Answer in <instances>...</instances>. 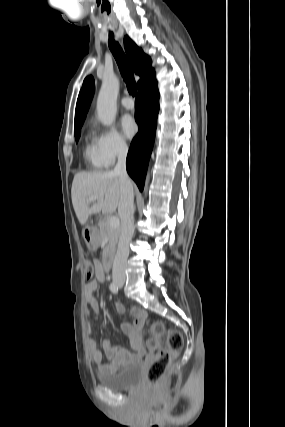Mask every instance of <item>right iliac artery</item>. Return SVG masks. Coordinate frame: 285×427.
I'll return each instance as SVG.
<instances>
[{
    "label": "right iliac artery",
    "instance_id": "right-iliac-artery-1",
    "mask_svg": "<svg viewBox=\"0 0 285 427\" xmlns=\"http://www.w3.org/2000/svg\"><path fill=\"white\" fill-rule=\"evenodd\" d=\"M110 290H111L114 294H117V293H118V286H117V284H116V283H114V282H112V283L110 284Z\"/></svg>",
    "mask_w": 285,
    "mask_h": 427
}]
</instances>
